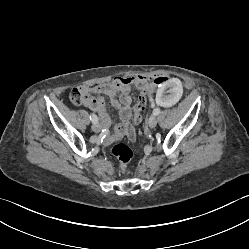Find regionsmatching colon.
I'll list each match as a JSON object with an SVG mask.
<instances>
[{"label": "colon", "instance_id": "1", "mask_svg": "<svg viewBox=\"0 0 249 249\" xmlns=\"http://www.w3.org/2000/svg\"><path fill=\"white\" fill-rule=\"evenodd\" d=\"M157 76L160 77L161 79L160 82L156 84L152 80V83L154 85H161V83L165 80V77L162 75H157ZM84 98H85L84 94L79 89H74L70 94V100L75 105L83 104ZM146 103H147V97L145 95H140L134 108L135 122L141 121L142 111L145 109ZM109 154L119 160L122 171H125L132 158L131 149L123 143H116L109 148Z\"/></svg>", "mask_w": 249, "mask_h": 249}]
</instances>
